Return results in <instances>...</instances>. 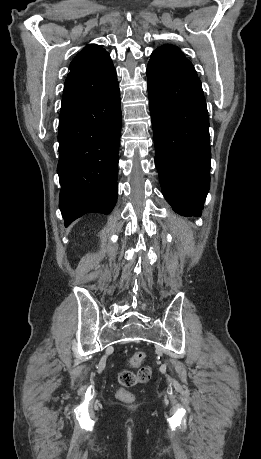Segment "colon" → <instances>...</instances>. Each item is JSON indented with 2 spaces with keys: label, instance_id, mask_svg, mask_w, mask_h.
I'll return each instance as SVG.
<instances>
[{
  "label": "colon",
  "instance_id": "5ec220e1",
  "mask_svg": "<svg viewBox=\"0 0 261 459\" xmlns=\"http://www.w3.org/2000/svg\"><path fill=\"white\" fill-rule=\"evenodd\" d=\"M145 359V354L141 351L135 352L130 357V364L133 367H139ZM152 370L150 367H140L137 371L123 370L118 374V382L122 388L118 389L117 397L123 401H130L132 395L125 388L133 387L137 384L147 382L151 377Z\"/></svg>",
  "mask_w": 261,
  "mask_h": 459
}]
</instances>
